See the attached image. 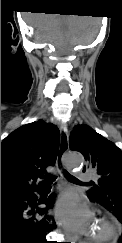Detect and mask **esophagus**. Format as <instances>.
I'll return each mask as SVG.
<instances>
[{"label": "esophagus", "instance_id": "esophagus-1", "mask_svg": "<svg viewBox=\"0 0 122 243\" xmlns=\"http://www.w3.org/2000/svg\"><path fill=\"white\" fill-rule=\"evenodd\" d=\"M68 148H69L68 133L66 131V126L63 125L60 130V145H59V151L56 159V167L60 173L62 180H64V171H65L63 160L66 152L68 151ZM64 234L69 243H77V241L79 240L78 236L71 234L66 229H64Z\"/></svg>", "mask_w": 122, "mask_h": 243}]
</instances>
